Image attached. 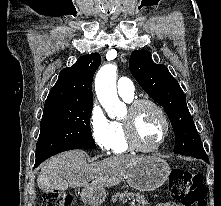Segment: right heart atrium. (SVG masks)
I'll use <instances>...</instances> for the list:
<instances>
[{"instance_id":"d8ad5b80","label":"right heart atrium","mask_w":221,"mask_h":206,"mask_svg":"<svg viewBox=\"0 0 221 206\" xmlns=\"http://www.w3.org/2000/svg\"><path fill=\"white\" fill-rule=\"evenodd\" d=\"M89 124L95 144L102 151H108L111 148L112 122L107 118L98 102L93 103Z\"/></svg>"}]
</instances>
